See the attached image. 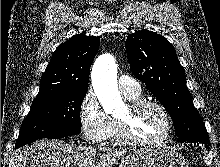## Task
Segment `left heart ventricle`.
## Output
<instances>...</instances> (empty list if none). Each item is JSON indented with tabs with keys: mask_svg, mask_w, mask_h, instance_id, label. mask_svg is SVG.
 Here are the masks:
<instances>
[{
	"mask_svg": "<svg viewBox=\"0 0 220 167\" xmlns=\"http://www.w3.org/2000/svg\"><path fill=\"white\" fill-rule=\"evenodd\" d=\"M128 116V108L119 115L120 118ZM134 135L143 140H153L161 137L166 130V121L163 114L153 106L142 108L134 117L132 123Z\"/></svg>",
	"mask_w": 220,
	"mask_h": 167,
	"instance_id": "left-heart-ventricle-1",
	"label": "left heart ventricle"
}]
</instances>
